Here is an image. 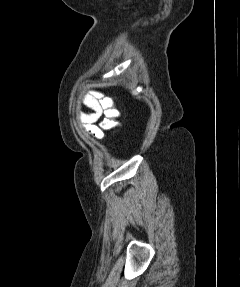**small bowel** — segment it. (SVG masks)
<instances>
[{
  "label": "small bowel",
  "instance_id": "obj_1",
  "mask_svg": "<svg viewBox=\"0 0 240 287\" xmlns=\"http://www.w3.org/2000/svg\"><path fill=\"white\" fill-rule=\"evenodd\" d=\"M81 100L91 110L89 113H84L81 115L82 121L86 124V130L95 138L102 139L104 136L103 132L95 125L97 120L102 116V112L96 98L88 94H83L81 96Z\"/></svg>",
  "mask_w": 240,
  "mask_h": 287
}]
</instances>
